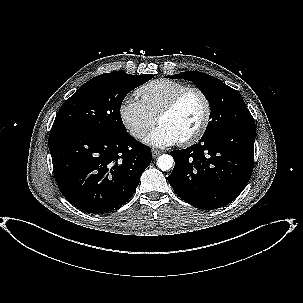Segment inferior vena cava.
<instances>
[{"instance_id":"602c4592","label":"inferior vena cava","mask_w":303,"mask_h":303,"mask_svg":"<svg viewBox=\"0 0 303 303\" xmlns=\"http://www.w3.org/2000/svg\"><path fill=\"white\" fill-rule=\"evenodd\" d=\"M144 133L143 132H139V135H143Z\"/></svg>"}]
</instances>
